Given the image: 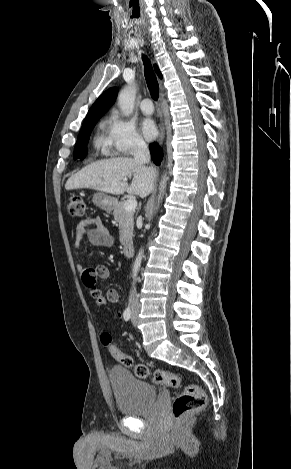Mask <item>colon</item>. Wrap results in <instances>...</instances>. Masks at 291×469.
Masks as SVG:
<instances>
[{
	"label": "colon",
	"instance_id": "5ec220e1",
	"mask_svg": "<svg viewBox=\"0 0 291 469\" xmlns=\"http://www.w3.org/2000/svg\"><path fill=\"white\" fill-rule=\"evenodd\" d=\"M68 211L72 217H84L87 212V206L84 199L77 195L72 196L68 203ZM94 303L99 308H104L106 306V301L101 296H96L94 298ZM101 342L108 348L113 358H115L125 367L132 368L138 378H150L152 382L157 385L167 386L175 389L182 388L180 393H178L173 399L171 405L172 415L176 420H180L186 415L204 407L206 403V396L204 391L199 386L195 384H188L183 386L182 377L177 373L159 369L151 370L145 364L136 363L130 355L124 354L115 345L112 344L111 336L108 333H103L101 335Z\"/></svg>",
	"mask_w": 291,
	"mask_h": 469
}]
</instances>
